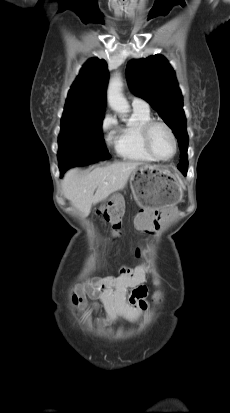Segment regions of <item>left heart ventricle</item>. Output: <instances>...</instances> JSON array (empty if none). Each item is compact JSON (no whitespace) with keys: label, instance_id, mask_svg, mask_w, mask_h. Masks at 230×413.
I'll return each instance as SVG.
<instances>
[{"label":"left heart ventricle","instance_id":"left-heart-ventricle-1","mask_svg":"<svg viewBox=\"0 0 230 413\" xmlns=\"http://www.w3.org/2000/svg\"><path fill=\"white\" fill-rule=\"evenodd\" d=\"M153 151L161 158L167 159L173 153V142L168 131L160 125L153 127L150 136Z\"/></svg>","mask_w":230,"mask_h":413}]
</instances>
